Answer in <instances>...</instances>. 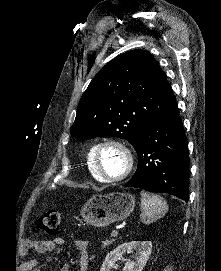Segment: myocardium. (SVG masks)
<instances>
[{"instance_id": "1", "label": "myocardium", "mask_w": 221, "mask_h": 271, "mask_svg": "<svg viewBox=\"0 0 221 271\" xmlns=\"http://www.w3.org/2000/svg\"><path fill=\"white\" fill-rule=\"evenodd\" d=\"M98 140H102L100 145H93L95 156H92L94 160V169H96L97 175H103L104 178H108V183H119V178H126L132 172V165H135L133 161L134 158L130 157L133 150H125V142H118V140H126L117 136H106ZM104 150H119V163L123 165L126 169L115 176L105 177L106 173L103 169V163L100 158L106 153Z\"/></svg>"}]
</instances>
